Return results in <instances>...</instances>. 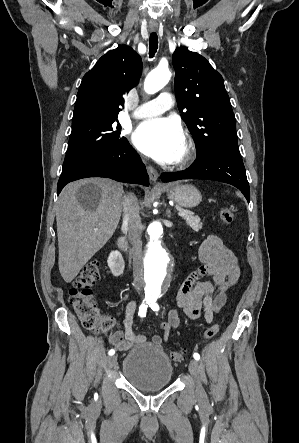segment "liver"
I'll return each mask as SVG.
<instances>
[{
    "label": "liver",
    "mask_w": 299,
    "mask_h": 443,
    "mask_svg": "<svg viewBox=\"0 0 299 443\" xmlns=\"http://www.w3.org/2000/svg\"><path fill=\"white\" fill-rule=\"evenodd\" d=\"M123 186L106 178L69 183L56 208L58 266L71 282L83 266L112 237L120 221Z\"/></svg>",
    "instance_id": "6515ba94"
}]
</instances>
